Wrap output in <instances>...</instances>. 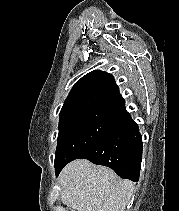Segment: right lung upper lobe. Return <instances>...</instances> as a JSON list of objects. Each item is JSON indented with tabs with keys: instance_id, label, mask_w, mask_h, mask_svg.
Segmentation results:
<instances>
[{
	"instance_id": "obj_1",
	"label": "right lung upper lobe",
	"mask_w": 179,
	"mask_h": 211,
	"mask_svg": "<svg viewBox=\"0 0 179 211\" xmlns=\"http://www.w3.org/2000/svg\"><path fill=\"white\" fill-rule=\"evenodd\" d=\"M125 102L111 74L94 70L83 76L71 89L60 118L85 111L123 112Z\"/></svg>"
}]
</instances>
